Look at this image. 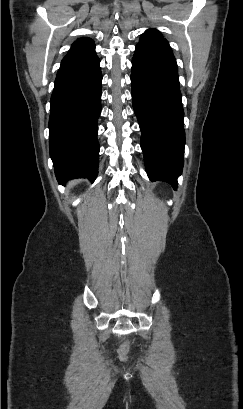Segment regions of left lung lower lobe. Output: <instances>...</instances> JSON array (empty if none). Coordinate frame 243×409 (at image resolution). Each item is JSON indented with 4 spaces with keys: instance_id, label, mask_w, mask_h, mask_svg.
I'll return each instance as SVG.
<instances>
[{
    "instance_id": "0a47b994",
    "label": "left lung lower lobe",
    "mask_w": 243,
    "mask_h": 409,
    "mask_svg": "<svg viewBox=\"0 0 243 409\" xmlns=\"http://www.w3.org/2000/svg\"><path fill=\"white\" fill-rule=\"evenodd\" d=\"M131 90L148 177L176 189L183 168L184 111L176 60L165 39L136 45Z\"/></svg>"
}]
</instances>
